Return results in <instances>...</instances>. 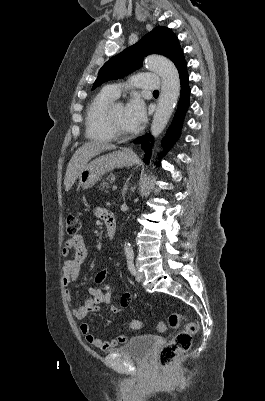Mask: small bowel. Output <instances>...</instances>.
Returning a JSON list of instances; mask_svg holds the SVG:
<instances>
[{
    "instance_id": "c3829d8e",
    "label": "small bowel",
    "mask_w": 265,
    "mask_h": 401,
    "mask_svg": "<svg viewBox=\"0 0 265 401\" xmlns=\"http://www.w3.org/2000/svg\"><path fill=\"white\" fill-rule=\"evenodd\" d=\"M104 211L105 210L102 208H97L95 210V215L102 218ZM71 252L73 253V257L67 259L62 265V282L65 287H68L76 281L80 273V268L88 256V250L84 238L81 235H74L66 240L62 249V254L66 257ZM109 276L110 270L108 268H102L97 272L94 278V286L88 290L85 302L80 306L72 305V293L69 289L65 290V298L71 305L72 315L76 319L82 320L89 313L99 311L101 304H109L112 301L114 292L111 285L107 282ZM130 300V293L123 294L120 303L111 306V313H120L129 305ZM79 329L88 344L93 345L102 351H108L117 345L126 343L128 340L125 335H119L111 340H102L91 333L90 326L86 322L81 323Z\"/></svg>"
}]
</instances>
